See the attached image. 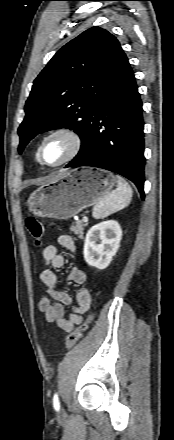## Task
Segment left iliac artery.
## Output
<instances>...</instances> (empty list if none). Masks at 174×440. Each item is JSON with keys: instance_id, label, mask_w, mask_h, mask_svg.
<instances>
[{"instance_id": "44dca946", "label": "left iliac artery", "mask_w": 174, "mask_h": 440, "mask_svg": "<svg viewBox=\"0 0 174 440\" xmlns=\"http://www.w3.org/2000/svg\"><path fill=\"white\" fill-rule=\"evenodd\" d=\"M53 406H54L55 410H59V408H60V403H59L57 393L54 394V397H53Z\"/></svg>"}]
</instances>
